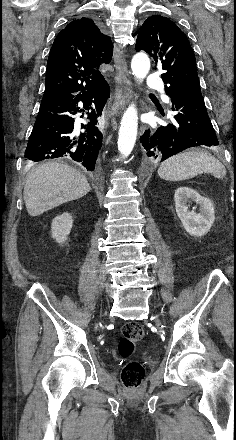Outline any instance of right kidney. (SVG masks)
Instances as JSON below:
<instances>
[{
	"label": "right kidney",
	"instance_id": "obj_1",
	"mask_svg": "<svg viewBox=\"0 0 236 440\" xmlns=\"http://www.w3.org/2000/svg\"><path fill=\"white\" fill-rule=\"evenodd\" d=\"M73 226V219L70 213H63L55 217L51 224L52 238L58 243H63L67 239L71 228Z\"/></svg>",
	"mask_w": 236,
	"mask_h": 440
}]
</instances>
